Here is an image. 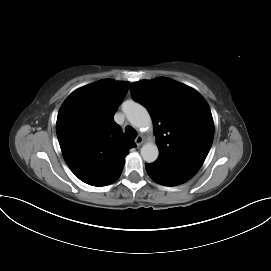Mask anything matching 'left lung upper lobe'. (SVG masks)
<instances>
[{
    "label": "left lung upper lobe",
    "instance_id": "obj_1",
    "mask_svg": "<svg viewBox=\"0 0 271 271\" xmlns=\"http://www.w3.org/2000/svg\"><path fill=\"white\" fill-rule=\"evenodd\" d=\"M153 119L159 157L199 169L214 136L210 108L193 88L166 77L131 83Z\"/></svg>",
    "mask_w": 271,
    "mask_h": 271
}]
</instances>
